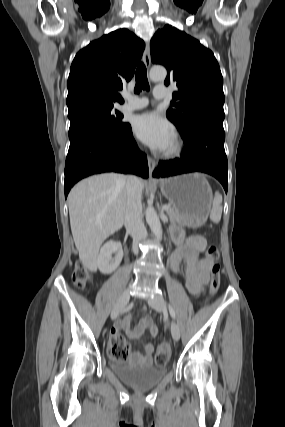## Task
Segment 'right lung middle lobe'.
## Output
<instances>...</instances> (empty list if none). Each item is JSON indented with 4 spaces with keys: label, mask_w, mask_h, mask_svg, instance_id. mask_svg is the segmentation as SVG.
<instances>
[{
    "label": "right lung middle lobe",
    "mask_w": 285,
    "mask_h": 427,
    "mask_svg": "<svg viewBox=\"0 0 285 427\" xmlns=\"http://www.w3.org/2000/svg\"><path fill=\"white\" fill-rule=\"evenodd\" d=\"M68 118L70 119L69 138L90 127H99L118 133L125 130L128 125V123L122 121L123 115L113 110V105L90 106L69 114Z\"/></svg>",
    "instance_id": "right-lung-middle-lobe-1"
}]
</instances>
